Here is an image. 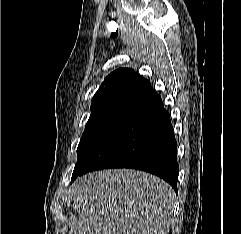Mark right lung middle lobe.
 Segmentation results:
<instances>
[{
    "label": "right lung middle lobe",
    "instance_id": "obj_1",
    "mask_svg": "<svg viewBox=\"0 0 241 234\" xmlns=\"http://www.w3.org/2000/svg\"><path fill=\"white\" fill-rule=\"evenodd\" d=\"M137 107L135 104L117 103L91 107V116L77 148V163L73 180L84 167L98 145Z\"/></svg>",
    "mask_w": 241,
    "mask_h": 234
}]
</instances>
